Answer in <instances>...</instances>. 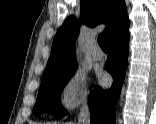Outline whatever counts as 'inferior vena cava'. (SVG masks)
I'll use <instances>...</instances> for the list:
<instances>
[{
  "label": "inferior vena cava",
  "mask_w": 156,
  "mask_h": 124,
  "mask_svg": "<svg viewBox=\"0 0 156 124\" xmlns=\"http://www.w3.org/2000/svg\"><path fill=\"white\" fill-rule=\"evenodd\" d=\"M77 124H90V111L86 104L80 108Z\"/></svg>",
  "instance_id": "602c4592"
}]
</instances>
